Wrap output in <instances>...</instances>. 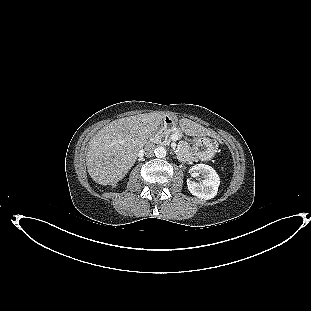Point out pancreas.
Segmentation results:
<instances>
[{
  "mask_svg": "<svg viewBox=\"0 0 311 311\" xmlns=\"http://www.w3.org/2000/svg\"><path fill=\"white\" fill-rule=\"evenodd\" d=\"M172 134H176L179 139L182 138V133L177 128H170V129H161L157 134H155L154 138L158 139L160 142L164 144H169L171 142ZM178 151L186 153L190 159H192V152L190 151V147L186 141H180L178 146Z\"/></svg>",
  "mask_w": 311,
  "mask_h": 311,
  "instance_id": "obj_1",
  "label": "pancreas"
}]
</instances>
